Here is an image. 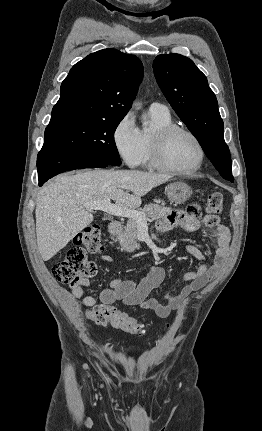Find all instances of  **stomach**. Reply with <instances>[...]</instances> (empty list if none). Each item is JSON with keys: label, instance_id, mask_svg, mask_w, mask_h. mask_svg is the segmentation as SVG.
<instances>
[{"label": "stomach", "instance_id": "0dacf381", "mask_svg": "<svg viewBox=\"0 0 262 431\" xmlns=\"http://www.w3.org/2000/svg\"><path fill=\"white\" fill-rule=\"evenodd\" d=\"M168 199L175 204L186 202L192 195L191 187L181 181L170 183L166 188Z\"/></svg>", "mask_w": 262, "mask_h": 431}]
</instances>
